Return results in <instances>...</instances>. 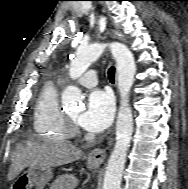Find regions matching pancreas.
<instances>
[{
	"instance_id": "1",
	"label": "pancreas",
	"mask_w": 188,
	"mask_h": 189,
	"mask_svg": "<svg viewBox=\"0 0 188 189\" xmlns=\"http://www.w3.org/2000/svg\"><path fill=\"white\" fill-rule=\"evenodd\" d=\"M61 179L62 178H58L54 183H52L50 189H58V188H60V186H61Z\"/></svg>"
}]
</instances>
